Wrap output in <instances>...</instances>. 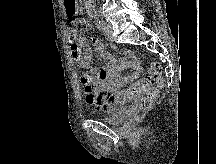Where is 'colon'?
<instances>
[{"instance_id": "obj_1", "label": "colon", "mask_w": 216, "mask_h": 164, "mask_svg": "<svg viewBox=\"0 0 216 164\" xmlns=\"http://www.w3.org/2000/svg\"><path fill=\"white\" fill-rule=\"evenodd\" d=\"M163 85L162 66L155 61L151 63L147 77L141 78L123 89L112 99L117 104H125L131 100H138L140 110L147 112L158 98Z\"/></svg>"}]
</instances>
